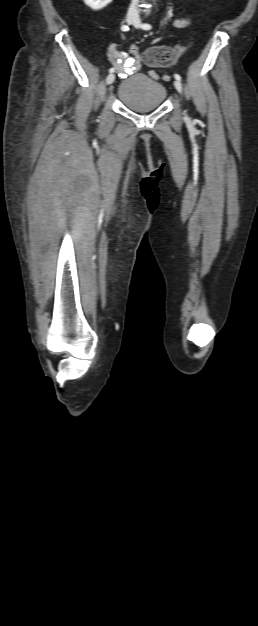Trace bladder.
I'll list each match as a JSON object with an SVG mask.
<instances>
[{
  "label": "bladder",
  "mask_w": 258,
  "mask_h": 626,
  "mask_svg": "<svg viewBox=\"0 0 258 626\" xmlns=\"http://www.w3.org/2000/svg\"><path fill=\"white\" fill-rule=\"evenodd\" d=\"M117 96L129 110L145 113L163 105L167 90L162 83L147 75H134L121 81Z\"/></svg>",
  "instance_id": "1"
}]
</instances>
